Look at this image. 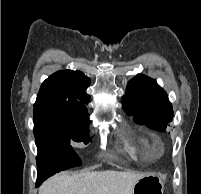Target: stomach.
<instances>
[{"mask_svg": "<svg viewBox=\"0 0 201 194\" xmlns=\"http://www.w3.org/2000/svg\"><path fill=\"white\" fill-rule=\"evenodd\" d=\"M164 183L155 174H144L133 186L132 194H163Z\"/></svg>", "mask_w": 201, "mask_h": 194, "instance_id": "1", "label": "stomach"}]
</instances>
